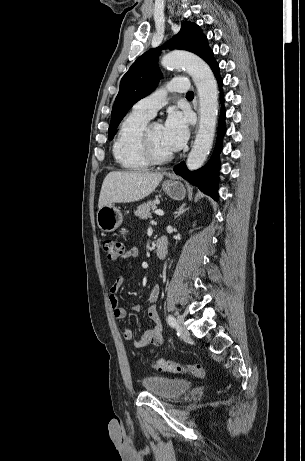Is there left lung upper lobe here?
Instances as JSON below:
<instances>
[{
	"mask_svg": "<svg viewBox=\"0 0 305 461\" xmlns=\"http://www.w3.org/2000/svg\"><path fill=\"white\" fill-rule=\"evenodd\" d=\"M166 46L169 49L193 52L207 63H210L214 59L206 36L198 25L191 22H183L179 33ZM160 50V47L150 49L138 57L121 79L120 89L111 114V122L108 130L109 140L113 139L117 126L129 109L157 87L158 81L161 78V72L157 63Z\"/></svg>",
	"mask_w": 305,
	"mask_h": 461,
	"instance_id": "obj_1",
	"label": "left lung upper lobe"
}]
</instances>
